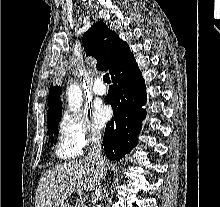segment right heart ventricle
<instances>
[{
    "mask_svg": "<svg viewBox=\"0 0 220 207\" xmlns=\"http://www.w3.org/2000/svg\"><path fill=\"white\" fill-rule=\"evenodd\" d=\"M55 152L59 158L65 160L75 159L80 155L77 151L65 147L61 142L57 144Z\"/></svg>",
    "mask_w": 220,
    "mask_h": 207,
    "instance_id": "right-heart-ventricle-1",
    "label": "right heart ventricle"
}]
</instances>
